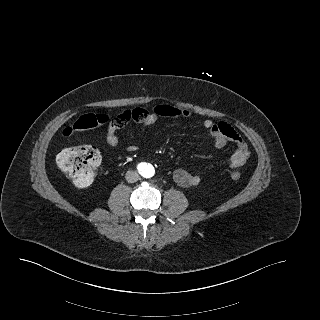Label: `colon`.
Segmentation results:
<instances>
[{
  "instance_id": "colon-1",
  "label": "colon",
  "mask_w": 320,
  "mask_h": 320,
  "mask_svg": "<svg viewBox=\"0 0 320 320\" xmlns=\"http://www.w3.org/2000/svg\"><path fill=\"white\" fill-rule=\"evenodd\" d=\"M109 118L103 114L82 116L72 127L63 131L64 136H71L76 131L94 129L105 124ZM112 121V120H111ZM57 165L75 185L86 187L90 185L100 165L101 157L97 148L92 145H82L62 150L57 156ZM239 172H232L231 179L239 180Z\"/></svg>"
}]
</instances>
